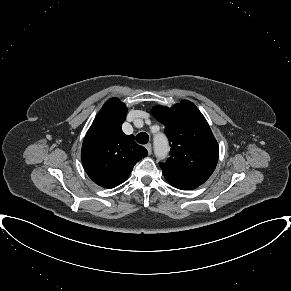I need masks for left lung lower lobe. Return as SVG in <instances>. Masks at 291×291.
I'll return each mask as SVG.
<instances>
[{
  "mask_svg": "<svg viewBox=\"0 0 291 291\" xmlns=\"http://www.w3.org/2000/svg\"><path fill=\"white\" fill-rule=\"evenodd\" d=\"M165 179L167 180V182L172 185L173 187L175 188H178V189H195L197 188L198 186L196 185H193V184H190V183H186V182H183V181H179V180H174V179H170V178H166Z\"/></svg>",
  "mask_w": 291,
  "mask_h": 291,
  "instance_id": "obj_1",
  "label": "left lung lower lobe"
}]
</instances>
